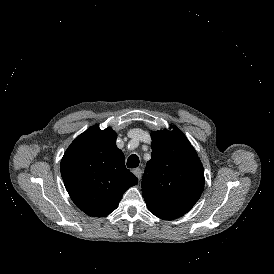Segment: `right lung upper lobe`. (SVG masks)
Wrapping results in <instances>:
<instances>
[{
	"label": "right lung upper lobe",
	"instance_id": "obj_1",
	"mask_svg": "<svg viewBox=\"0 0 274 274\" xmlns=\"http://www.w3.org/2000/svg\"><path fill=\"white\" fill-rule=\"evenodd\" d=\"M117 134L110 127L92 126L66 150L60 164L65 187L87 215L102 217L114 211L124 192L138 183L125 167Z\"/></svg>",
	"mask_w": 274,
	"mask_h": 274
}]
</instances>
